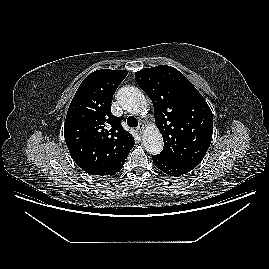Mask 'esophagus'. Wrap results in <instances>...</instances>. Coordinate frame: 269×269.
Segmentation results:
<instances>
[{"instance_id": "34e87169", "label": "esophagus", "mask_w": 269, "mask_h": 269, "mask_svg": "<svg viewBox=\"0 0 269 269\" xmlns=\"http://www.w3.org/2000/svg\"><path fill=\"white\" fill-rule=\"evenodd\" d=\"M143 129H144V124H143V123H139V125H138V127H137V131H138L139 133H141V132L143 131Z\"/></svg>"}]
</instances>
